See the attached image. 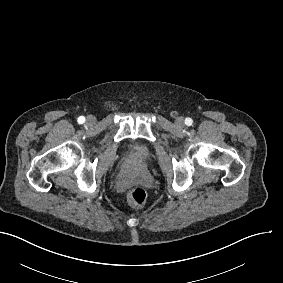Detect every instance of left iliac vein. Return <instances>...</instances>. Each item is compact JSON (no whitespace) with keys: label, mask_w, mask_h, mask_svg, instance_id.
<instances>
[{"label":"left iliac vein","mask_w":283,"mask_h":283,"mask_svg":"<svg viewBox=\"0 0 283 283\" xmlns=\"http://www.w3.org/2000/svg\"><path fill=\"white\" fill-rule=\"evenodd\" d=\"M184 124V119L182 117H179L177 120H176V125L177 126H182Z\"/></svg>","instance_id":"left-iliac-vein-1"}]
</instances>
